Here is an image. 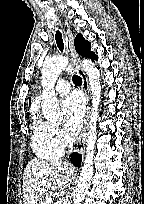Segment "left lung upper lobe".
Returning <instances> with one entry per match:
<instances>
[{
	"label": "left lung upper lobe",
	"instance_id": "1",
	"mask_svg": "<svg viewBox=\"0 0 144 204\" xmlns=\"http://www.w3.org/2000/svg\"><path fill=\"white\" fill-rule=\"evenodd\" d=\"M76 51L82 56L97 59L94 52L90 51V43L86 41L81 34H78L74 40Z\"/></svg>",
	"mask_w": 144,
	"mask_h": 204
}]
</instances>
